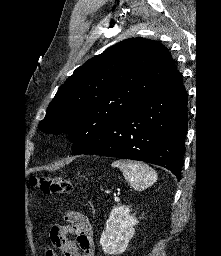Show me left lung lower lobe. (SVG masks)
<instances>
[{
  "label": "left lung lower lobe",
  "instance_id": "obj_1",
  "mask_svg": "<svg viewBox=\"0 0 221 256\" xmlns=\"http://www.w3.org/2000/svg\"><path fill=\"white\" fill-rule=\"evenodd\" d=\"M188 128L187 93L178 72L135 108L100 128L78 154L133 159L163 166L181 178Z\"/></svg>",
  "mask_w": 221,
  "mask_h": 256
}]
</instances>
